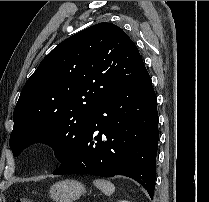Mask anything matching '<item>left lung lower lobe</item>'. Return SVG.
I'll return each mask as SVG.
<instances>
[{"mask_svg": "<svg viewBox=\"0 0 209 202\" xmlns=\"http://www.w3.org/2000/svg\"><path fill=\"white\" fill-rule=\"evenodd\" d=\"M157 98L144 69L91 111L84 136L53 174L123 175L153 198L158 131Z\"/></svg>", "mask_w": 209, "mask_h": 202, "instance_id": "1", "label": "left lung lower lobe"}]
</instances>
